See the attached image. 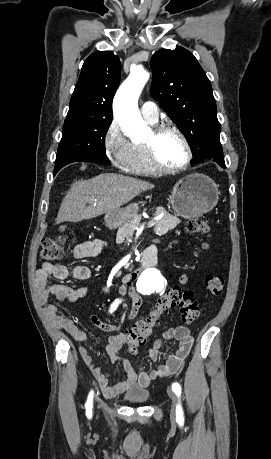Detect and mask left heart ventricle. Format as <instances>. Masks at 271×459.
Here are the masks:
<instances>
[{"instance_id":"1","label":"left heart ventricle","mask_w":271,"mask_h":459,"mask_svg":"<svg viewBox=\"0 0 271 459\" xmlns=\"http://www.w3.org/2000/svg\"><path fill=\"white\" fill-rule=\"evenodd\" d=\"M152 132L147 140H152ZM161 159L169 165L182 163L187 157V148L183 139L175 132H166L158 141Z\"/></svg>"}]
</instances>
